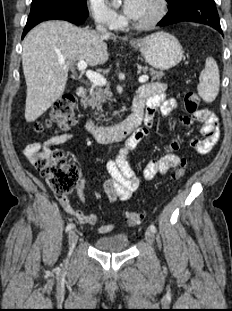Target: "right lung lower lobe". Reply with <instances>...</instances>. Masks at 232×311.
<instances>
[{"label": "right lung lower lobe", "mask_w": 232, "mask_h": 311, "mask_svg": "<svg viewBox=\"0 0 232 311\" xmlns=\"http://www.w3.org/2000/svg\"><path fill=\"white\" fill-rule=\"evenodd\" d=\"M87 18V15L80 14L76 10L65 7H44L32 10L29 14L22 38L35 25L46 20H66L74 24H82Z\"/></svg>", "instance_id": "1"}]
</instances>
